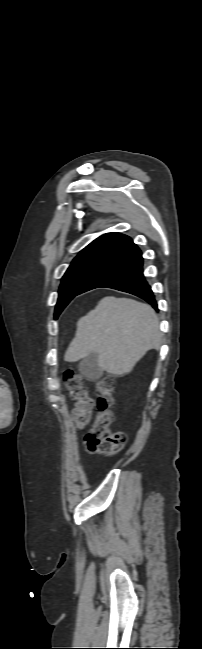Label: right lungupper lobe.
I'll return each mask as SVG.
<instances>
[{"instance_id": "right-lung-upper-lobe-1", "label": "right lung upper lobe", "mask_w": 202, "mask_h": 649, "mask_svg": "<svg viewBox=\"0 0 202 649\" xmlns=\"http://www.w3.org/2000/svg\"><path fill=\"white\" fill-rule=\"evenodd\" d=\"M136 247L132 239L121 233H106L86 246L78 255L107 253L120 255Z\"/></svg>"}]
</instances>
